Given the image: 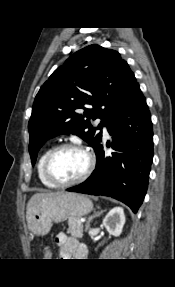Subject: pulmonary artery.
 <instances>
[{
  "instance_id": "pulmonary-artery-1",
  "label": "pulmonary artery",
  "mask_w": 175,
  "mask_h": 287,
  "mask_svg": "<svg viewBox=\"0 0 175 287\" xmlns=\"http://www.w3.org/2000/svg\"><path fill=\"white\" fill-rule=\"evenodd\" d=\"M103 132H104L105 135H107V128H106V126L103 127Z\"/></svg>"
}]
</instances>
